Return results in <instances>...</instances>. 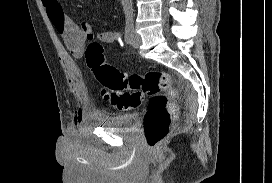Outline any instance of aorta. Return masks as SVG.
Here are the masks:
<instances>
[{
  "mask_svg": "<svg viewBox=\"0 0 272 183\" xmlns=\"http://www.w3.org/2000/svg\"><path fill=\"white\" fill-rule=\"evenodd\" d=\"M121 3L123 6L126 23H132L134 17L132 0H121Z\"/></svg>",
  "mask_w": 272,
  "mask_h": 183,
  "instance_id": "1",
  "label": "aorta"
}]
</instances>
